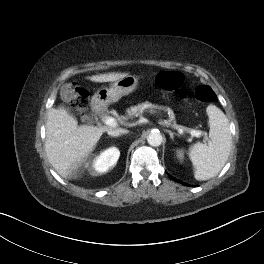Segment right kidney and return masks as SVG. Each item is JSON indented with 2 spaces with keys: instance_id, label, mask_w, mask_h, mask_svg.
<instances>
[{
  "instance_id": "obj_1",
  "label": "right kidney",
  "mask_w": 264,
  "mask_h": 264,
  "mask_svg": "<svg viewBox=\"0 0 264 264\" xmlns=\"http://www.w3.org/2000/svg\"><path fill=\"white\" fill-rule=\"evenodd\" d=\"M119 156L120 151L116 147H111L95 158L92 167L97 173L107 172L117 163Z\"/></svg>"
}]
</instances>
